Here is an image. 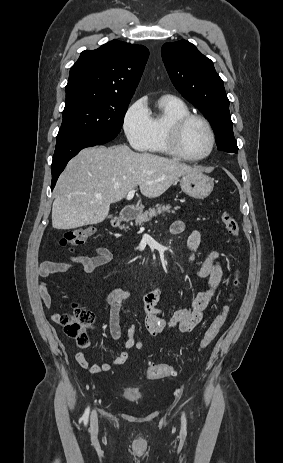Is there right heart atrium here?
Instances as JSON below:
<instances>
[{
	"label": "right heart atrium",
	"mask_w": 283,
	"mask_h": 463,
	"mask_svg": "<svg viewBox=\"0 0 283 463\" xmlns=\"http://www.w3.org/2000/svg\"><path fill=\"white\" fill-rule=\"evenodd\" d=\"M123 130L130 146L144 150L150 138V114L143 99L134 101L123 117Z\"/></svg>",
	"instance_id": "1"
}]
</instances>
